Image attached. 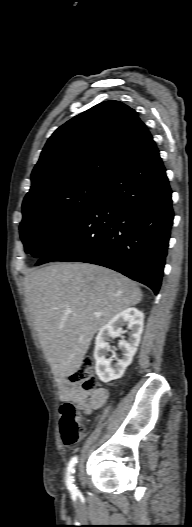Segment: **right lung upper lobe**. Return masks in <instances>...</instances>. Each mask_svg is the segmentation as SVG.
<instances>
[{
  "instance_id": "obj_1",
  "label": "right lung upper lobe",
  "mask_w": 192,
  "mask_h": 527,
  "mask_svg": "<svg viewBox=\"0 0 192 527\" xmlns=\"http://www.w3.org/2000/svg\"><path fill=\"white\" fill-rule=\"evenodd\" d=\"M152 141L135 110L115 100L99 103L49 138L24 201L85 180L107 183Z\"/></svg>"
}]
</instances>
